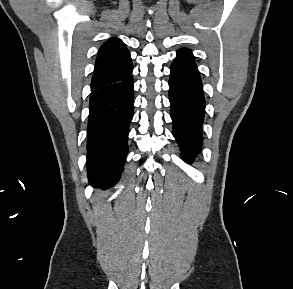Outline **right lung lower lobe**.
Listing matches in <instances>:
<instances>
[{"label": "right lung lower lobe", "mask_w": 293, "mask_h": 289, "mask_svg": "<svg viewBox=\"0 0 293 289\" xmlns=\"http://www.w3.org/2000/svg\"><path fill=\"white\" fill-rule=\"evenodd\" d=\"M133 76L93 89L89 101L87 172L92 186L110 188L120 178L128 153L133 116Z\"/></svg>", "instance_id": "1"}]
</instances>
